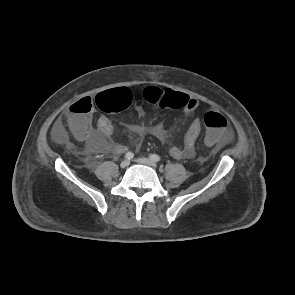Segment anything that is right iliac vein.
<instances>
[{"label": "right iliac vein", "mask_w": 295, "mask_h": 295, "mask_svg": "<svg viewBox=\"0 0 295 295\" xmlns=\"http://www.w3.org/2000/svg\"><path fill=\"white\" fill-rule=\"evenodd\" d=\"M130 164L129 160L125 159L120 163L121 168H126Z\"/></svg>", "instance_id": "obj_1"}]
</instances>
